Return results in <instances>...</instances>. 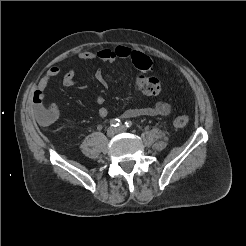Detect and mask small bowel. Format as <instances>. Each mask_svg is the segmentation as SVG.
I'll return each instance as SVG.
<instances>
[{"mask_svg": "<svg viewBox=\"0 0 246 246\" xmlns=\"http://www.w3.org/2000/svg\"><path fill=\"white\" fill-rule=\"evenodd\" d=\"M132 50L127 46H117L114 49H101L97 52L83 51L77 55L78 60L90 61L99 60L103 62H113L117 59H131ZM63 69L58 66L51 67L46 74L41 78L37 85V89L34 92V97H37L40 104L36 105V114L38 121L42 125H50L56 122L60 115V109L55 106H47L46 102V89L50 81L62 74ZM142 76H139L136 81V85L139 88V83ZM96 80L103 86H107V81L101 71L95 73ZM63 84L66 87H72L75 85V70L70 68L63 77ZM97 102L100 105L98 109V114L101 118H106L108 116V109L103 105L104 99L101 96L97 97ZM171 112V107L167 102L159 101L154 106L150 107H140L131 108L123 113L124 118H135L141 116H167Z\"/></svg>", "mask_w": 246, "mask_h": 246, "instance_id": "obj_1", "label": "small bowel"}]
</instances>
